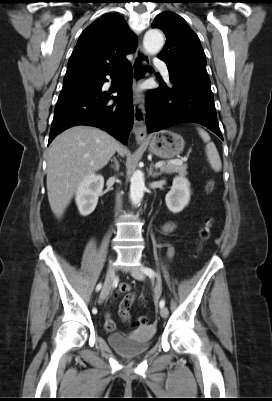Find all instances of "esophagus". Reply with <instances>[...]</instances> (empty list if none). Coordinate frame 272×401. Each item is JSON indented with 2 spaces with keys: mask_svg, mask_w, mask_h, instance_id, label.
<instances>
[{
  "mask_svg": "<svg viewBox=\"0 0 272 401\" xmlns=\"http://www.w3.org/2000/svg\"><path fill=\"white\" fill-rule=\"evenodd\" d=\"M149 60L142 45H139L134 60L132 61L133 69V110H134V126L133 133L138 144H142L146 140L147 130L145 125V109L142 97L137 90L138 85L145 77L144 65Z\"/></svg>",
  "mask_w": 272,
  "mask_h": 401,
  "instance_id": "1",
  "label": "esophagus"
}]
</instances>
